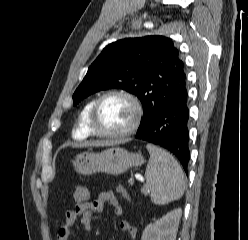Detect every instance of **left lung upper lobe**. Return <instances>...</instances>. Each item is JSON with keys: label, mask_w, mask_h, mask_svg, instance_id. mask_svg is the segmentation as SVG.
Masks as SVG:
<instances>
[{"label": "left lung upper lobe", "mask_w": 248, "mask_h": 240, "mask_svg": "<svg viewBox=\"0 0 248 240\" xmlns=\"http://www.w3.org/2000/svg\"><path fill=\"white\" fill-rule=\"evenodd\" d=\"M118 88L135 94L142 103L143 130L170 100L186 91L184 62L170 38H128L106 46L91 64L73 95L74 105L90 94Z\"/></svg>", "instance_id": "obj_1"}]
</instances>
